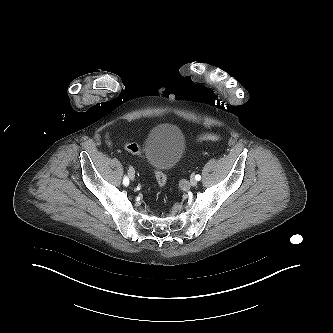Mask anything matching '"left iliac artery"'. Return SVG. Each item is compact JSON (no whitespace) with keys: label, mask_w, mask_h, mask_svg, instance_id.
<instances>
[{"label":"left iliac artery","mask_w":333,"mask_h":333,"mask_svg":"<svg viewBox=\"0 0 333 333\" xmlns=\"http://www.w3.org/2000/svg\"><path fill=\"white\" fill-rule=\"evenodd\" d=\"M195 178L197 181H199L201 179V176L199 174L195 175Z\"/></svg>","instance_id":"1"}]
</instances>
